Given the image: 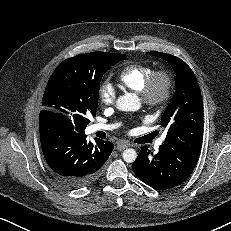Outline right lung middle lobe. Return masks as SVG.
I'll list each match as a JSON object with an SVG mask.
<instances>
[{"instance_id":"dd1d6c3e","label":"right lung middle lobe","mask_w":231,"mask_h":231,"mask_svg":"<svg viewBox=\"0 0 231 231\" xmlns=\"http://www.w3.org/2000/svg\"><path fill=\"white\" fill-rule=\"evenodd\" d=\"M124 54L91 52L63 61L51 75L42 106L76 132H84L87 116L96 115L99 86L110 66L125 60Z\"/></svg>"}]
</instances>
